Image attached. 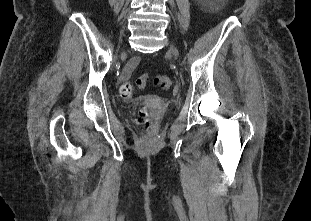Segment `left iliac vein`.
<instances>
[{"mask_svg": "<svg viewBox=\"0 0 311 221\" xmlns=\"http://www.w3.org/2000/svg\"><path fill=\"white\" fill-rule=\"evenodd\" d=\"M170 51L172 52V54L177 57L178 56V51L177 49L173 46V45H170Z\"/></svg>", "mask_w": 311, "mask_h": 221, "instance_id": "4c4485c4", "label": "left iliac vein"}]
</instances>
